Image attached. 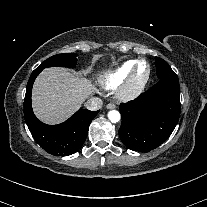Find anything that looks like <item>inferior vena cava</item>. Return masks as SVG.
Segmentation results:
<instances>
[{"mask_svg": "<svg viewBox=\"0 0 207 207\" xmlns=\"http://www.w3.org/2000/svg\"><path fill=\"white\" fill-rule=\"evenodd\" d=\"M102 100L98 97H92V98H89L86 102H85V107L88 109V110H91V111H96V110H99L102 108Z\"/></svg>", "mask_w": 207, "mask_h": 207, "instance_id": "602c4592", "label": "inferior vena cava"}]
</instances>
